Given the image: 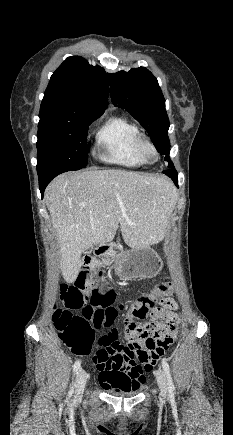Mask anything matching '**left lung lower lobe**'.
I'll return each mask as SVG.
<instances>
[{
	"mask_svg": "<svg viewBox=\"0 0 233 435\" xmlns=\"http://www.w3.org/2000/svg\"><path fill=\"white\" fill-rule=\"evenodd\" d=\"M163 173L168 175L174 181V183L177 185L178 174H177V171L175 170V168H171L169 170L163 171Z\"/></svg>",
	"mask_w": 233,
	"mask_h": 435,
	"instance_id": "1",
	"label": "left lung lower lobe"
}]
</instances>
